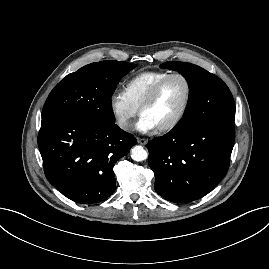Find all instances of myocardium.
<instances>
[{"label":"myocardium","mask_w":269,"mask_h":269,"mask_svg":"<svg viewBox=\"0 0 269 269\" xmlns=\"http://www.w3.org/2000/svg\"><path fill=\"white\" fill-rule=\"evenodd\" d=\"M172 78H181L184 81V83L186 85V89H187L186 100H185V103H184L181 111L179 112V114L171 122L157 128V130L159 132H169V131L175 129L182 122L184 117L186 116V114L189 110V107L191 105L192 96H193V87H192V83H191L190 79L182 73H171V74L167 75L166 77L161 79L151 89V91L149 92V94L147 95V97L145 98V100L142 102V104L139 107V113L142 114V112L146 108H148L149 106H151L155 102V100L157 99L163 86Z\"/></svg>","instance_id":"1"}]
</instances>
